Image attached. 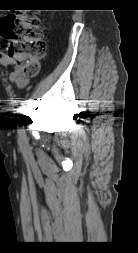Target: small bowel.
Wrapping results in <instances>:
<instances>
[{"instance_id":"c3829d8e","label":"small bowel","mask_w":138,"mask_h":253,"mask_svg":"<svg viewBox=\"0 0 138 253\" xmlns=\"http://www.w3.org/2000/svg\"><path fill=\"white\" fill-rule=\"evenodd\" d=\"M0 64L3 66H11L12 71L9 73V81L23 88L28 84V79L24 71L19 67L17 62L7 53L0 51Z\"/></svg>"}]
</instances>
